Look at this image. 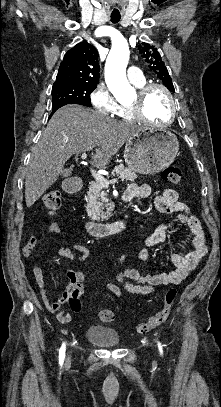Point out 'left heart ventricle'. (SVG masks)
I'll list each match as a JSON object with an SVG mask.
<instances>
[{
	"instance_id": "b2bd125f",
	"label": "left heart ventricle",
	"mask_w": 221,
	"mask_h": 407,
	"mask_svg": "<svg viewBox=\"0 0 221 407\" xmlns=\"http://www.w3.org/2000/svg\"><path fill=\"white\" fill-rule=\"evenodd\" d=\"M144 112L148 119L156 123H165L169 119L170 103L162 90L154 89L149 93L144 104Z\"/></svg>"
}]
</instances>
